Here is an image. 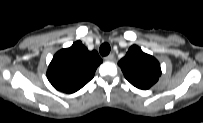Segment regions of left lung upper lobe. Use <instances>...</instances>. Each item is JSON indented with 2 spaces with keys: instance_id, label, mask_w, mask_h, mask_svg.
I'll use <instances>...</instances> for the list:
<instances>
[{
  "instance_id": "left-lung-upper-lobe-1",
  "label": "left lung upper lobe",
  "mask_w": 203,
  "mask_h": 123,
  "mask_svg": "<svg viewBox=\"0 0 203 123\" xmlns=\"http://www.w3.org/2000/svg\"><path fill=\"white\" fill-rule=\"evenodd\" d=\"M118 65L121 67L125 78L140 89L150 88L161 75L159 62L136 45L129 48Z\"/></svg>"
}]
</instances>
